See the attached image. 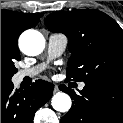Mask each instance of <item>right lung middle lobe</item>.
<instances>
[{
  "instance_id": "1",
  "label": "right lung middle lobe",
  "mask_w": 123,
  "mask_h": 123,
  "mask_svg": "<svg viewBox=\"0 0 123 123\" xmlns=\"http://www.w3.org/2000/svg\"><path fill=\"white\" fill-rule=\"evenodd\" d=\"M20 60L17 38L6 26H1V83L11 81L17 72L16 61Z\"/></svg>"
}]
</instances>
